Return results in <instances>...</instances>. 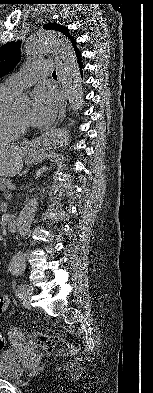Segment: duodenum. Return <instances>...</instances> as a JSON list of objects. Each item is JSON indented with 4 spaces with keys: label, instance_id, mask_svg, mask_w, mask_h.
Masks as SVG:
<instances>
[{
    "label": "duodenum",
    "instance_id": "1",
    "mask_svg": "<svg viewBox=\"0 0 153 393\" xmlns=\"http://www.w3.org/2000/svg\"><path fill=\"white\" fill-rule=\"evenodd\" d=\"M7 228L10 232H16L18 229V224L16 218H13L7 223Z\"/></svg>",
    "mask_w": 153,
    "mask_h": 393
}]
</instances>
